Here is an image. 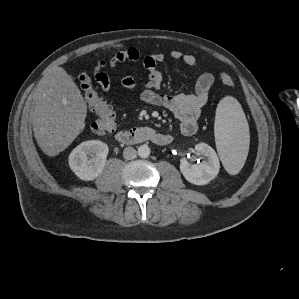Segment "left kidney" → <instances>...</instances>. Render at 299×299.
Masks as SVG:
<instances>
[{
  "instance_id": "5707ae66",
  "label": "left kidney",
  "mask_w": 299,
  "mask_h": 299,
  "mask_svg": "<svg viewBox=\"0 0 299 299\" xmlns=\"http://www.w3.org/2000/svg\"><path fill=\"white\" fill-rule=\"evenodd\" d=\"M195 150L206 157L200 164L181 161L180 171L187 181L195 185H206L219 173L220 163L215 150L206 143H198Z\"/></svg>"
}]
</instances>
